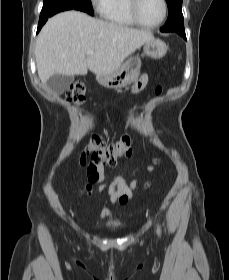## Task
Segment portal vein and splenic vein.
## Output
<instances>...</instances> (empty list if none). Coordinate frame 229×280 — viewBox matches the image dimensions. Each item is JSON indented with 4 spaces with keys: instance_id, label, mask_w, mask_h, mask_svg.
Masks as SVG:
<instances>
[{
    "instance_id": "portal-vein-and-splenic-vein-1",
    "label": "portal vein and splenic vein",
    "mask_w": 229,
    "mask_h": 280,
    "mask_svg": "<svg viewBox=\"0 0 229 280\" xmlns=\"http://www.w3.org/2000/svg\"><path fill=\"white\" fill-rule=\"evenodd\" d=\"M94 53V51L93 50H91V51H87L86 52V55H92Z\"/></svg>"
}]
</instances>
